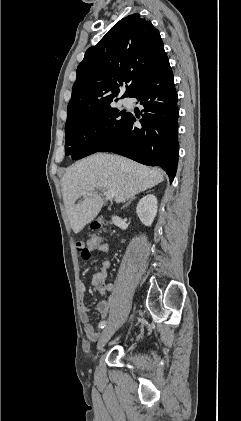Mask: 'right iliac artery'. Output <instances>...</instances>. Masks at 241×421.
I'll return each instance as SVG.
<instances>
[{"label": "right iliac artery", "instance_id": "obj_1", "mask_svg": "<svg viewBox=\"0 0 241 421\" xmlns=\"http://www.w3.org/2000/svg\"><path fill=\"white\" fill-rule=\"evenodd\" d=\"M105 326H107V321H102L99 323V328H104Z\"/></svg>", "mask_w": 241, "mask_h": 421}]
</instances>
